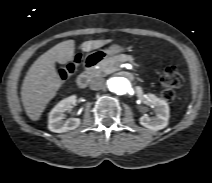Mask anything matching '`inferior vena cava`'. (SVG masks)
Instances as JSON below:
<instances>
[{"mask_svg":"<svg viewBox=\"0 0 212 183\" xmlns=\"http://www.w3.org/2000/svg\"><path fill=\"white\" fill-rule=\"evenodd\" d=\"M104 85V81L102 78L95 77L90 82V89L92 90H100Z\"/></svg>","mask_w":212,"mask_h":183,"instance_id":"1","label":"inferior vena cava"}]
</instances>
